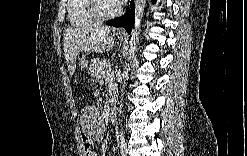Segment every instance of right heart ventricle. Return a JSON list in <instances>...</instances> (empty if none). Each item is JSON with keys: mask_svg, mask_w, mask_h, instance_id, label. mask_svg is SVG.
Returning <instances> with one entry per match:
<instances>
[{"mask_svg": "<svg viewBox=\"0 0 247 156\" xmlns=\"http://www.w3.org/2000/svg\"><path fill=\"white\" fill-rule=\"evenodd\" d=\"M88 0H71L68 2L67 14L74 27L86 26L96 22L88 9Z\"/></svg>", "mask_w": 247, "mask_h": 156, "instance_id": "e07e8e85", "label": "right heart ventricle"}]
</instances>
